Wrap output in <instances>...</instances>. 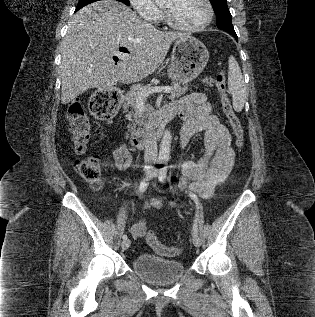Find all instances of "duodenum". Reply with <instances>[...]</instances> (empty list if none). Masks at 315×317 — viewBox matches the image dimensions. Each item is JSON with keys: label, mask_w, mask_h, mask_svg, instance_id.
Wrapping results in <instances>:
<instances>
[{"label": "duodenum", "mask_w": 315, "mask_h": 317, "mask_svg": "<svg viewBox=\"0 0 315 317\" xmlns=\"http://www.w3.org/2000/svg\"><path fill=\"white\" fill-rule=\"evenodd\" d=\"M176 112L162 108L153 121L145 128L126 134L129 145L136 150L142 149L150 140L156 139L163 133L165 125L174 117Z\"/></svg>", "instance_id": "duodenum-1"}]
</instances>
